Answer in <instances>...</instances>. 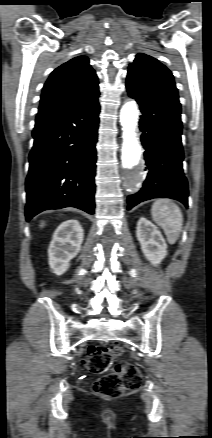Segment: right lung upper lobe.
I'll use <instances>...</instances> for the list:
<instances>
[{
  "mask_svg": "<svg viewBox=\"0 0 212 438\" xmlns=\"http://www.w3.org/2000/svg\"><path fill=\"white\" fill-rule=\"evenodd\" d=\"M99 94L95 71L87 57L79 56L51 73L43 87L39 113L92 102Z\"/></svg>",
  "mask_w": 212,
  "mask_h": 438,
  "instance_id": "obj_1",
  "label": "right lung upper lobe"
}]
</instances>
